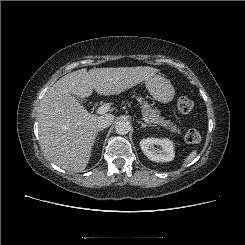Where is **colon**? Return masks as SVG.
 Instances as JSON below:
<instances>
[{"label":"colon","instance_id":"obj_1","mask_svg":"<svg viewBox=\"0 0 245 245\" xmlns=\"http://www.w3.org/2000/svg\"><path fill=\"white\" fill-rule=\"evenodd\" d=\"M178 108L183 113H191L194 109V104L186 96H181L178 100ZM201 139L200 133L196 129H190L185 134V140L188 143L195 144Z\"/></svg>","mask_w":245,"mask_h":245}]
</instances>
